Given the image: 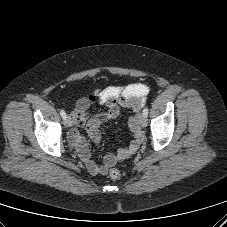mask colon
Returning <instances> with one entry per match:
<instances>
[{
	"label": "colon",
	"instance_id": "obj_1",
	"mask_svg": "<svg viewBox=\"0 0 227 227\" xmlns=\"http://www.w3.org/2000/svg\"><path fill=\"white\" fill-rule=\"evenodd\" d=\"M121 175H122L121 170L117 169V168H114V169L110 170V172H109V176L114 180L119 179L121 177Z\"/></svg>",
	"mask_w": 227,
	"mask_h": 227
}]
</instances>
